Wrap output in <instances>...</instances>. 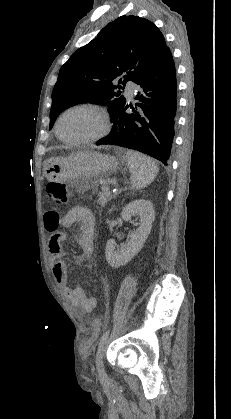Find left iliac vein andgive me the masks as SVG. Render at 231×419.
<instances>
[{
    "label": "left iliac vein",
    "mask_w": 231,
    "mask_h": 419,
    "mask_svg": "<svg viewBox=\"0 0 231 419\" xmlns=\"http://www.w3.org/2000/svg\"><path fill=\"white\" fill-rule=\"evenodd\" d=\"M103 351H104V348L102 347L101 349H99L96 356V365H97V370L99 374L104 373Z\"/></svg>",
    "instance_id": "left-iliac-vein-1"
}]
</instances>
